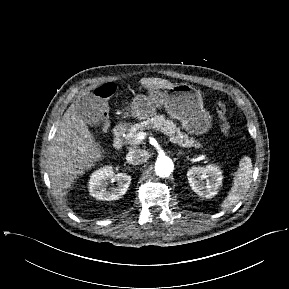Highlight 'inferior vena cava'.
Wrapping results in <instances>:
<instances>
[{"label": "inferior vena cava", "instance_id": "obj_1", "mask_svg": "<svg viewBox=\"0 0 289 289\" xmlns=\"http://www.w3.org/2000/svg\"><path fill=\"white\" fill-rule=\"evenodd\" d=\"M148 154L145 150L134 149L127 153L126 160L129 164L139 165L148 160Z\"/></svg>", "mask_w": 289, "mask_h": 289}]
</instances>
